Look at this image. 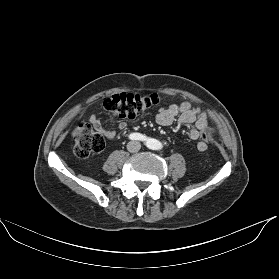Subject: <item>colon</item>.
Masks as SVG:
<instances>
[{"label": "colon", "mask_w": 279, "mask_h": 279, "mask_svg": "<svg viewBox=\"0 0 279 279\" xmlns=\"http://www.w3.org/2000/svg\"><path fill=\"white\" fill-rule=\"evenodd\" d=\"M161 100L162 97L156 93L141 95L123 92L105 98L103 105L107 111L117 117L133 119L159 104ZM71 136L74 142L73 151L78 158H87L104 148L102 135L88 122L79 123L72 130ZM209 136L210 132L206 131L202 140L208 143Z\"/></svg>", "instance_id": "obj_1"}]
</instances>
